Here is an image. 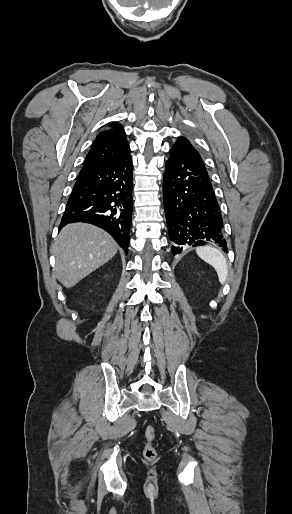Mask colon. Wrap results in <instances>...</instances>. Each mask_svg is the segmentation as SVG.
Returning <instances> with one entry per match:
<instances>
[{"label": "colon", "mask_w": 292, "mask_h": 514, "mask_svg": "<svg viewBox=\"0 0 292 514\" xmlns=\"http://www.w3.org/2000/svg\"><path fill=\"white\" fill-rule=\"evenodd\" d=\"M145 442L143 446V457L152 461L157 457V451L155 447L156 440V429L154 425L147 424L144 429Z\"/></svg>", "instance_id": "colon-1"}]
</instances>
